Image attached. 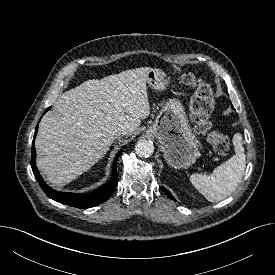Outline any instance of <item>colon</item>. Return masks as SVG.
<instances>
[{"instance_id":"1","label":"colon","mask_w":275,"mask_h":275,"mask_svg":"<svg viewBox=\"0 0 275 275\" xmlns=\"http://www.w3.org/2000/svg\"><path fill=\"white\" fill-rule=\"evenodd\" d=\"M182 82L194 89L189 108L190 120L196 134L205 136L216 153L225 154L229 150V138L223 133L213 131L209 119L215 105L211 86L189 72L182 75Z\"/></svg>"}]
</instances>
